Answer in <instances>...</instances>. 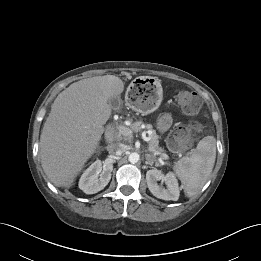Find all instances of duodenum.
<instances>
[{
  "label": "duodenum",
  "instance_id": "duodenum-1",
  "mask_svg": "<svg viewBox=\"0 0 261 261\" xmlns=\"http://www.w3.org/2000/svg\"><path fill=\"white\" fill-rule=\"evenodd\" d=\"M106 134H107L108 137L114 138V136H115V131H114V128H113L111 125H109V126L107 127V129H106Z\"/></svg>",
  "mask_w": 261,
  "mask_h": 261
}]
</instances>
